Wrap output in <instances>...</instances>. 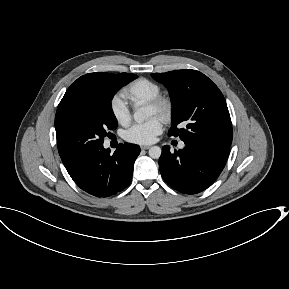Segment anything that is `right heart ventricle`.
<instances>
[{
  "mask_svg": "<svg viewBox=\"0 0 289 289\" xmlns=\"http://www.w3.org/2000/svg\"><path fill=\"white\" fill-rule=\"evenodd\" d=\"M160 93L161 87L159 84L146 78H139L123 89L122 96L134 107H138L148 103L150 100L159 96Z\"/></svg>",
  "mask_w": 289,
  "mask_h": 289,
  "instance_id": "right-heart-ventricle-1",
  "label": "right heart ventricle"
}]
</instances>
